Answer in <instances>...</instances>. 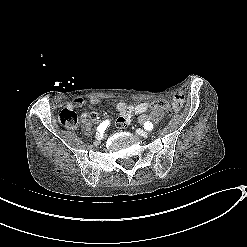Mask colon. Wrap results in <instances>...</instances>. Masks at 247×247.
<instances>
[{
    "mask_svg": "<svg viewBox=\"0 0 247 247\" xmlns=\"http://www.w3.org/2000/svg\"><path fill=\"white\" fill-rule=\"evenodd\" d=\"M153 108L160 111L169 112L171 106L168 102L164 100H158L153 104ZM58 120L62 125L68 128L76 127L79 122L78 115L76 114V112L68 108L62 109L59 112Z\"/></svg>",
    "mask_w": 247,
    "mask_h": 247,
    "instance_id": "obj_1",
    "label": "colon"
}]
</instances>
